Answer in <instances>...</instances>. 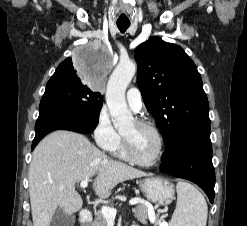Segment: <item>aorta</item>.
Wrapping results in <instances>:
<instances>
[{"label": "aorta", "mask_w": 247, "mask_h": 226, "mask_svg": "<svg viewBox=\"0 0 247 226\" xmlns=\"http://www.w3.org/2000/svg\"><path fill=\"white\" fill-rule=\"evenodd\" d=\"M136 72V65L131 60H121L112 72L106 89V102L115 128L130 125L133 120L128 109L125 91Z\"/></svg>", "instance_id": "obj_1"}]
</instances>
